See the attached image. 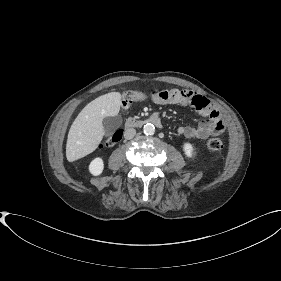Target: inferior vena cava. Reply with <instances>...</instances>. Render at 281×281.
Here are the masks:
<instances>
[{
    "label": "inferior vena cava",
    "mask_w": 281,
    "mask_h": 281,
    "mask_svg": "<svg viewBox=\"0 0 281 281\" xmlns=\"http://www.w3.org/2000/svg\"><path fill=\"white\" fill-rule=\"evenodd\" d=\"M135 135H136V130L133 128H129L124 131L125 139H132Z\"/></svg>",
    "instance_id": "inferior-vena-cava-1"
}]
</instances>
